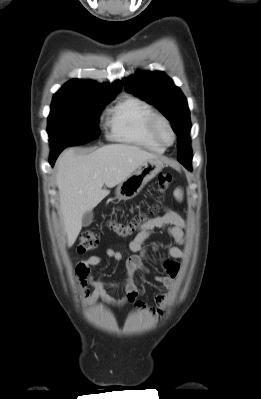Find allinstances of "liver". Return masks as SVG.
<instances>
[{"instance_id": "6515ba94", "label": "liver", "mask_w": 261, "mask_h": 399, "mask_svg": "<svg viewBox=\"0 0 261 399\" xmlns=\"http://www.w3.org/2000/svg\"><path fill=\"white\" fill-rule=\"evenodd\" d=\"M149 159L158 156L127 144L106 145L86 155L68 149L59 157L56 183L68 247L81 231L83 214L109 194V190L102 189L103 185H118Z\"/></svg>"}]
</instances>
